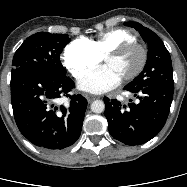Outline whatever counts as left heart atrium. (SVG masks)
Instances as JSON below:
<instances>
[{
	"label": "left heart atrium",
	"instance_id": "obj_1",
	"mask_svg": "<svg viewBox=\"0 0 187 187\" xmlns=\"http://www.w3.org/2000/svg\"><path fill=\"white\" fill-rule=\"evenodd\" d=\"M121 79L113 68L103 65L80 78L78 88L85 92L101 94L116 87Z\"/></svg>",
	"mask_w": 187,
	"mask_h": 187
}]
</instances>
